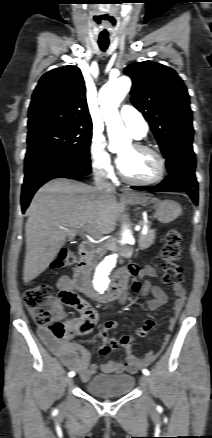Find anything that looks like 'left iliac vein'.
Listing matches in <instances>:
<instances>
[{
    "mask_svg": "<svg viewBox=\"0 0 212 438\" xmlns=\"http://www.w3.org/2000/svg\"><path fill=\"white\" fill-rule=\"evenodd\" d=\"M140 384L148 392L149 385H150V380H149L148 376L142 375L140 377ZM148 403H149V405L153 404V401H152V399L150 397L148 398Z\"/></svg>",
    "mask_w": 212,
    "mask_h": 438,
    "instance_id": "1",
    "label": "left iliac vein"
}]
</instances>
